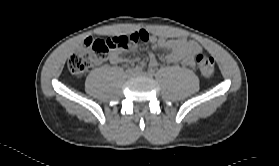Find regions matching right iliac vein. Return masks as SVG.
<instances>
[{"instance_id": "1", "label": "right iliac vein", "mask_w": 279, "mask_h": 166, "mask_svg": "<svg viewBox=\"0 0 279 166\" xmlns=\"http://www.w3.org/2000/svg\"><path fill=\"white\" fill-rule=\"evenodd\" d=\"M137 73V71H135L134 69H130L127 71V76H134Z\"/></svg>"}]
</instances>
